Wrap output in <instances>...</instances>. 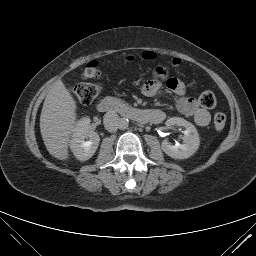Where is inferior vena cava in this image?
Instances as JSON below:
<instances>
[{
	"instance_id": "obj_1",
	"label": "inferior vena cava",
	"mask_w": 256,
	"mask_h": 256,
	"mask_svg": "<svg viewBox=\"0 0 256 256\" xmlns=\"http://www.w3.org/2000/svg\"><path fill=\"white\" fill-rule=\"evenodd\" d=\"M119 121H120V118L118 117L117 113L113 111L107 112L104 115V119H103L104 127L109 132L117 131V129L119 128Z\"/></svg>"
}]
</instances>
